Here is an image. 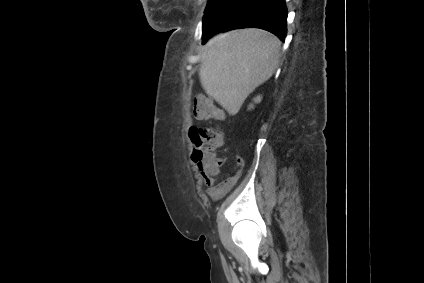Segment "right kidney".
Segmentation results:
<instances>
[{
    "label": "right kidney",
    "instance_id": "ca27d5eb",
    "mask_svg": "<svg viewBox=\"0 0 424 283\" xmlns=\"http://www.w3.org/2000/svg\"><path fill=\"white\" fill-rule=\"evenodd\" d=\"M260 101H261V97H260V96H257L256 98H254V102H255V103H259ZM250 108H253V105H250V106H249V109H250Z\"/></svg>",
    "mask_w": 424,
    "mask_h": 283
}]
</instances>
